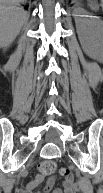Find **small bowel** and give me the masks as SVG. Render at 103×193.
I'll use <instances>...</instances> for the list:
<instances>
[{"instance_id": "small-bowel-1", "label": "small bowel", "mask_w": 103, "mask_h": 193, "mask_svg": "<svg viewBox=\"0 0 103 193\" xmlns=\"http://www.w3.org/2000/svg\"><path fill=\"white\" fill-rule=\"evenodd\" d=\"M43 184V178L36 176L30 183H28L22 190L21 193H75L76 182L72 178H65L62 182V187L49 189L52 182L47 187L39 189Z\"/></svg>"}]
</instances>
